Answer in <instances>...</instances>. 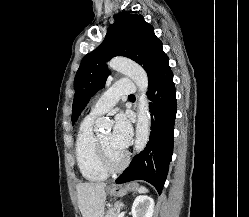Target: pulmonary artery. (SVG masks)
Returning <instances> with one entry per match:
<instances>
[{
  "instance_id": "obj_1",
  "label": "pulmonary artery",
  "mask_w": 249,
  "mask_h": 217,
  "mask_svg": "<svg viewBox=\"0 0 249 217\" xmlns=\"http://www.w3.org/2000/svg\"><path fill=\"white\" fill-rule=\"evenodd\" d=\"M138 91L135 83L129 79L119 81L110 87L92 106L90 116H97L111 110L120 98L135 94Z\"/></svg>"
}]
</instances>
